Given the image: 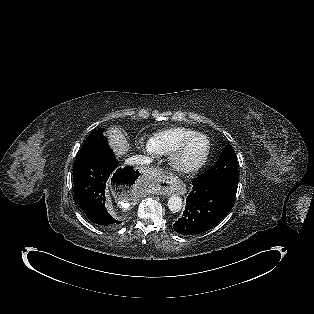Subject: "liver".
Instances as JSON below:
<instances>
[{"mask_svg":"<svg viewBox=\"0 0 314 314\" xmlns=\"http://www.w3.org/2000/svg\"><path fill=\"white\" fill-rule=\"evenodd\" d=\"M106 136L108 137L109 145L114 149L117 155L121 156L128 152L130 146L125 134L120 128H109L106 132Z\"/></svg>","mask_w":314,"mask_h":314,"instance_id":"1","label":"liver"}]
</instances>
